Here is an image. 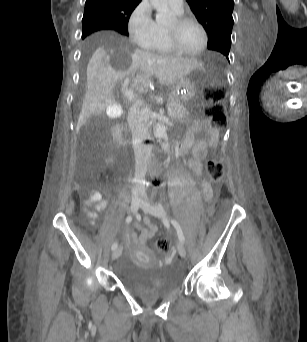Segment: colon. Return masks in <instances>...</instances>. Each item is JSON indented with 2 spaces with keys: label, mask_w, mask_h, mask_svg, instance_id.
Wrapping results in <instances>:
<instances>
[{
  "label": "colon",
  "mask_w": 307,
  "mask_h": 342,
  "mask_svg": "<svg viewBox=\"0 0 307 342\" xmlns=\"http://www.w3.org/2000/svg\"><path fill=\"white\" fill-rule=\"evenodd\" d=\"M229 93L228 87H205V116L210 124L216 129H224L228 125V118L225 113L223 103L225 94ZM206 171L213 182H219L223 179L224 166L213 154L207 161ZM157 250L162 254L170 251V243L166 239H159L156 244Z\"/></svg>",
  "instance_id": "colon-1"
}]
</instances>
